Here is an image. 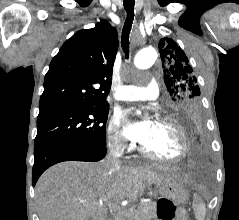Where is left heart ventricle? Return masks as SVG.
I'll return each instance as SVG.
<instances>
[{"label":"left heart ventricle","mask_w":239,"mask_h":220,"mask_svg":"<svg viewBox=\"0 0 239 220\" xmlns=\"http://www.w3.org/2000/svg\"><path fill=\"white\" fill-rule=\"evenodd\" d=\"M142 144L156 155L174 157L180 153L181 137L173 125L150 121L148 137Z\"/></svg>","instance_id":"1"}]
</instances>
